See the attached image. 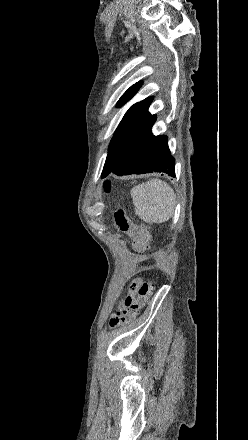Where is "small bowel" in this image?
Masks as SVG:
<instances>
[{
  "mask_svg": "<svg viewBox=\"0 0 248 440\" xmlns=\"http://www.w3.org/2000/svg\"><path fill=\"white\" fill-rule=\"evenodd\" d=\"M128 232H129L130 237L133 240L134 248L136 250H138L137 246H138L139 237H140V228H138L136 226H132ZM139 259H140V256L133 257V260H139Z\"/></svg>",
  "mask_w": 248,
  "mask_h": 440,
  "instance_id": "c3829d8e",
  "label": "small bowel"
}]
</instances>
